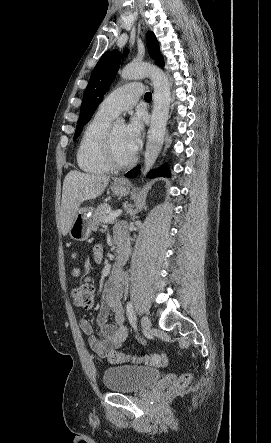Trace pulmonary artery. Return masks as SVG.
Masks as SVG:
<instances>
[{
    "label": "pulmonary artery",
    "instance_id": "obj_1",
    "mask_svg": "<svg viewBox=\"0 0 271 443\" xmlns=\"http://www.w3.org/2000/svg\"><path fill=\"white\" fill-rule=\"evenodd\" d=\"M143 92L139 83L124 85L109 93L100 103L98 111L111 117L119 115L122 111L131 109Z\"/></svg>",
    "mask_w": 271,
    "mask_h": 443
}]
</instances>
